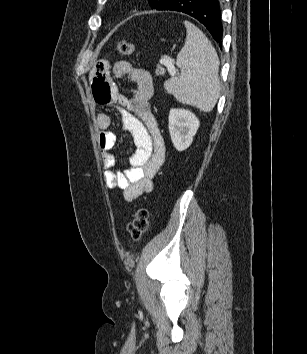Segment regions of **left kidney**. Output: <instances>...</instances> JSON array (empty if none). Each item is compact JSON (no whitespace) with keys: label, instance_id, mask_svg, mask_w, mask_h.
Instances as JSON below:
<instances>
[{"label":"left kidney","instance_id":"5707ae66","mask_svg":"<svg viewBox=\"0 0 307 354\" xmlns=\"http://www.w3.org/2000/svg\"><path fill=\"white\" fill-rule=\"evenodd\" d=\"M200 122L187 109H171L169 112V132L172 143L178 151L187 149L193 142Z\"/></svg>","mask_w":307,"mask_h":354}]
</instances>
